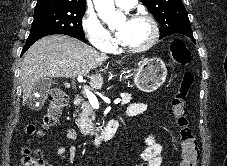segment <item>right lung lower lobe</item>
Segmentation results:
<instances>
[{
    "mask_svg": "<svg viewBox=\"0 0 227 166\" xmlns=\"http://www.w3.org/2000/svg\"><path fill=\"white\" fill-rule=\"evenodd\" d=\"M38 40V39H37ZM37 40H32V41H27V43L25 44V46L23 47L22 53L21 55H23L27 49L33 44L35 43Z\"/></svg>",
    "mask_w": 227,
    "mask_h": 166,
    "instance_id": "right-lung-lower-lobe-1",
    "label": "right lung lower lobe"
}]
</instances>
